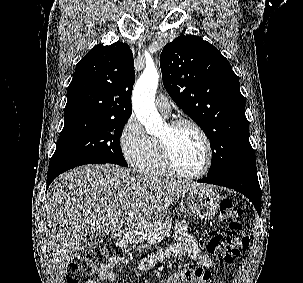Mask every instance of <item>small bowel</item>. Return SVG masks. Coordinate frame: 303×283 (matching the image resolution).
Listing matches in <instances>:
<instances>
[{
  "label": "small bowel",
  "instance_id": "obj_1",
  "mask_svg": "<svg viewBox=\"0 0 303 283\" xmlns=\"http://www.w3.org/2000/svg\"><path fill=\"white\" fill-rule=\"evenodd\" d=\"M177 242L171 244L167 249L160 252L153 258L146 259L140 265V269H148L153 264L164 259H175L181 255H188L192 260L197 261L198 265L205 271L200 283H215L217 270L213 259L202 253L197 238L188 233V222L183 220L176 227ZM119 264L127 265L128 261L118 256H110L106 262L100 265L98 278L101 283L112 282L115 274L112 269ZM170 283V282H169Z\"/></svg>",
  "mask_w": 303,
  "mask_h": 283
}]
</instances>
